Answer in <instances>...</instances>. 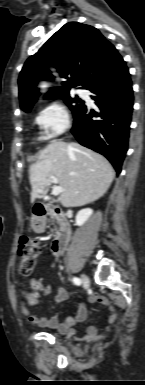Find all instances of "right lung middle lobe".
Instances as JSON below:
<instances>
[{"label": "right lung middle lobe", "instance_id": "obj_1", "mask_svg": "<svg viewBox=\"0 0 145 385\" xmlns=\"http://www.w3.org/2000/svg\"><path fill=\"white\" fill-rule=\"evenodd\" d=\"M63 100L64 102L69 106V108L72 110L73 115L76 114V112L84 105V102L81 101L77 96L72 99L69 95V93L63 94ZM29 111V110H28ZM27 111V112H28Z\"/></svg>", "mask_w": 145, "mask_h": 385}]
</instances>
